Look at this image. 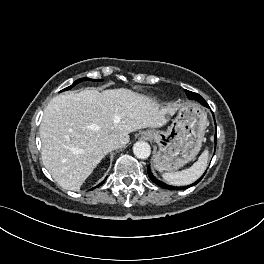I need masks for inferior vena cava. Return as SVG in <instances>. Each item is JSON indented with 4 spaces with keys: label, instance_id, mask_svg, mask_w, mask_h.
<instances>
[{
    "label": "inferior vena cava",
    "instance_id": "obj_1",
    "mask_svg": "<svg viewBox=\"0 0 264 264\" xmlns=\"http://www.w3.org/2000/svg\"><path fill=\"white\" fill-rule=\"evenodd\" d=\"M119 148V144L117 143V141H108L105 146H104V149L107 151V152H110L112 150H115V149H118Z\"/></svg>",
    "mask_w": 264,
    "mask_h": 264
}]
</instances>
